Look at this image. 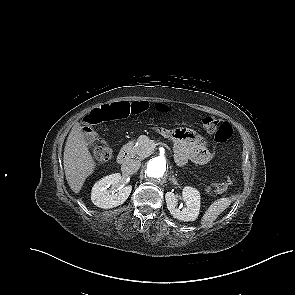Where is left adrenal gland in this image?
Returning <instances> with one entry per match:
<instances>
[{"mask_svg":"<svg viewBox=\"0 0 295 295\" xmlns=\"http://www.w3.org/2000/svg\"><path fill=\"white\" fill-rule=\"evenodd\" d=\"M172 177H173V178H172V179H173V181H175V178H174V176H172ZM175 184H176V182H175Z\"/></svg>","mask_w":295,"mask_h":295,"instance_id":"left-adrenal-gland-1","label":"left adrenal gland"}]
</instances>
